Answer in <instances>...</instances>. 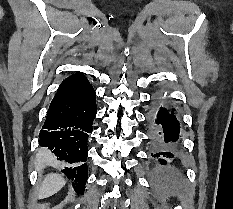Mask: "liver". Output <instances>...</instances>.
Returning <instances> with one entry per match:
<instances>
[{
	"label": "liver",
	"instance_id": "6515ba94",
	"mask_svg": "<svg viewBox=\"0 0 233 209\" xmlns=\"http://www.w3.org/2000/svg\"><path fill=\"white\" fill-rule=\"evenodd\" d=\"M66 183L65 178L58 174H49L38 188V198H48L57 193Z\"/></svg>",
	"mask_w": 233,
	"mask_h": 209
}]
</instances>
